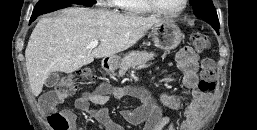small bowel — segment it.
I'll return each instance as SVG.
<instances>
[{
	"label": "small bowel",
	"instance_id": "c3829d8e",
	"mask_svg": "<svg viewBox=\"0 0 257 130\" xmlns=\"http://www.w3.org/2000/svg\"><path fill=\"white\" fill-rule=\"evenodd\" d=\"M198 54L191 48L181 49L177 56L176 62L178 69L183 75V85L190 92V100L184 105L182 98L176 95L161 94L159 97L160 105L156 104L149 93L137 87L130 86H112L103 83L93 91L82 93L75 101L78 110L87 113L100 123L105 130H124V128L115 122L108 110L104 107L91 108L90 104L104 105L111 98L122 99L126 96L137 97L141 104L134 109H122L121 116L131 125L145 123L144 130H193L200 120L209 100L210 95L199 90L198 84ZM66 98L65 94L57 92H48L40 99L41 107L47 111H53L56 106ZM162 107L171 110H177L183 107V120L178 127H175L173 120L164 115ZM70 120V130H83L78 125L76 116L69 110H63Z\"/></svg>",
	"mask_w": 257,
	"mask_h": 130
}]
</instances>
